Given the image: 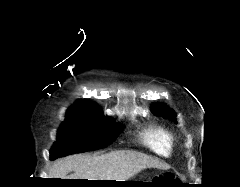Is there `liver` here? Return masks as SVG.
<instances>
[{
    "label": "liver",
    "instance_id": "obj_1",
    "mask_svg": "<svg viewBox=\"0 0 240 187\" xmlns=\"http://www.w3.org/2000/svg\"><path fill=\"white\" fill-rule=\"evenodd\" d=\"M146 168L167 165L143 153L120 150L102 155L75 154L54 162L49 176L61 179L126 181ZM74 172L67 176L69 172Z\"/></svg>",
    "mask_w": 240,
    "mask_h": 187
}]
</instances>
